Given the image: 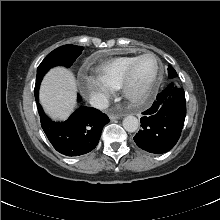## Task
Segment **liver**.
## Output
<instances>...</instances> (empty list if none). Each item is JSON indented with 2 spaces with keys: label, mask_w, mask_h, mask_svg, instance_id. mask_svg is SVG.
Instances as JSON below:
<instances>
[{
  "label": "liver",
  "mask_w": 220,
  "mask_h": 220,
  "mask_svg": "<svg viewBox=\"0 0 220 220\" xmlns=\"http://www.w3.org/2000/svg\"><path fill=\"white\" fill-rule=\"evenodd\" d=\"M76 80L66 68L55 67L40 86V102L45 112L55 120H65L76 104Z\"/></svg>",
  "instance_id": "6515ba94"
}]
</instances>
